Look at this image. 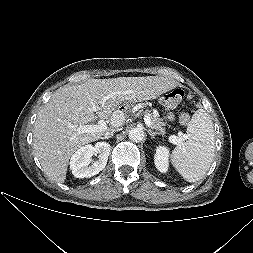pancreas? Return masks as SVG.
Listing matches in <instances>:
<instances>
[{"instance_id": "obj_1", "label": "pancreas", "mask_w": 253, "mask_h": 253, "mask_svg": "<svg viewBox=\"0 0 253 253\" xmlns=\"http://www.w3.org/2000/svg\"><path fill=\"white\" fill-rule=\"evenodd\" d=\"M148 116L151 119V125L150 127L154 130H156L157 134H161L164 135L165 134V123L162 122V119H160L158 117V115H154V114H148Z\"/></svg>"}]
</instances>
